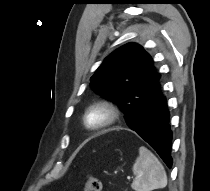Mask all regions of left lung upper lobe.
Listing matches in <instances>:
<instances>
[{"instance_id": "1", "label": "left lung upper lobe", "mask_w": 210, "mask_h": 191, "mask_svg": "<svg viewBox=\"0 0 210 191\" xmlns=\"http://www.w3.org/2000/svg\"><path fill=\"white\" fill-rule=\"evenodd\" d=\"M159 74L152 57L138 44L124 45L108 57L91 77L90 86L122 108L132 121L138 103L150 93Z\"/></svg>"}]
</instances>
